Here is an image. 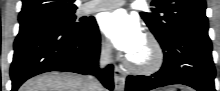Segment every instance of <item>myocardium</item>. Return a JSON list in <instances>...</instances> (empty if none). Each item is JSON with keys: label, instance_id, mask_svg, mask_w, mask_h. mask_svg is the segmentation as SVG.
<instances>
[{"label": "myocardium", "instance_id": "obj_1", "mask_svg": "<svg viewBox=\"0 0 220 91\" xmlns=\"http://www.w3.org/2000/svg\"><path fill=\"white\" fill-rule=\"evenodd\" d=\"M145 41L150 48L148 62L144 64L135 63L130 57L126 60V65L130 71L140 75H149L157 72L164 62V51L161 43L153 34H147Z\"/></svg>", "mask_w": 220, "mask_h": 91}]
</instances>
